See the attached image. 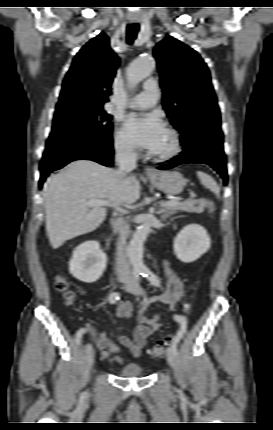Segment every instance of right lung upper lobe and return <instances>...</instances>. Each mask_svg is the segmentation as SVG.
Returning a JSON list of instances; mask_svg holds the SVG:
<instances>
[{"label": "right lung upper lobe", "instance_id": "cb5924a9", "mask_svg": "<svg viewBox=\"0 0 273 430\" xmlns=\"http://www.w3.org/2000/svg\"><path fill=\"white\" fill-rule=\"evenodd\" d=\"M119 59L104 33L86 43L67 72L56 108L73 103L103 107L111 94V83Z\"/></svg>", "mask_w": 273, "mask_h": 430}]
</instances>
